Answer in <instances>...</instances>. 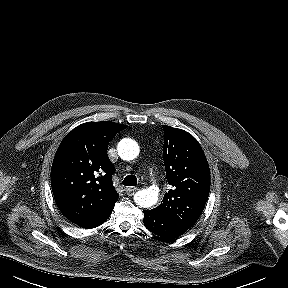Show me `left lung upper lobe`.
<instances>
[{
	"label": "left lung upper lobe",
	"instance_id": "obj_1",
	"mask_svg": "<svg viewBox=\"0 0 288 288\" xmlns=\"http://www.w3.org/2000/svg\"><path fill=\"white\" fill-rule=\"evenodd\" d=\"M163 158L172 186L159 206L158 215L186 228L199 219L210 191V171L205 154L188 132L163 125Z\"/></svg>",
	"mask_w": 288,
	"mask_h": 288
}]
</instances>
